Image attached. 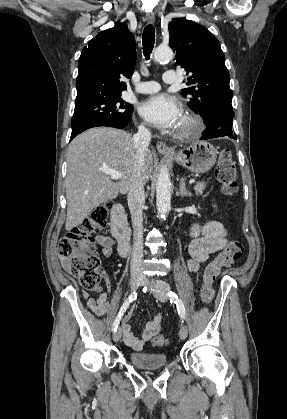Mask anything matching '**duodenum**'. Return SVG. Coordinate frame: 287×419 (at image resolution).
<instances>
[{
    "label": "duodenum",
    "instance_id": "obj_1",
    "mask_svg": "<svg viewBox=\"0 0 287 419\" xmlns=\"http://www.w3.org/2000/svg\"><path fill=\"white\" fill-rule=\"evenodd\" d=\"M110 227L112 236L118 241L120 255L124 256L128 251L130 228L121 204H116L111 211Z\"/></svg>",
    "mask_w": 287,
    "mask_h": 419
}]
</instances>
